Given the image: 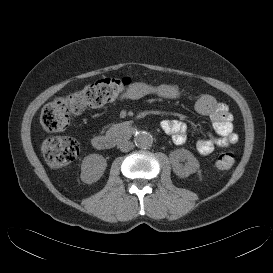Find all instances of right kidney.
Wrapping results in <instances>:
<instances>
[{
    "label": "right kidney",
    "mask_w": 273,
    "mask_h": 273,
    "mask_svg": "<svg viewBox=\"0 0 273 273\" xmlns=\"http://www.w3.org/2000/svg\"><path fill=\"white\" fill-rule=\"evenodd\" d=\"M107 167V162L102 155L90 154L86 156L81 164L80 178L87 184L98 181Z\"/></svg>",
    "instance_id": "right-kidney-1"
}]
</instances>
